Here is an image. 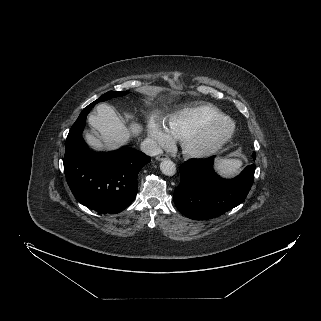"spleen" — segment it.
<instances>
[{"label": "spleen", "mask_w": 321, "mask_h": 321, "mask_svg": "<svg viewBox=\"0 0 321 321\" xmlns=\"http://www.w3.org/2000/svg\"><path fill=\"white\" fill-rule=\"evenodd\" d=\"M242 166V161L239 159H228L223 158L217 160L215 163L216 170L219 174L223 176H233L240 170Z\"/></svg>", "instance_id": "obj_1"}]
</instances>
